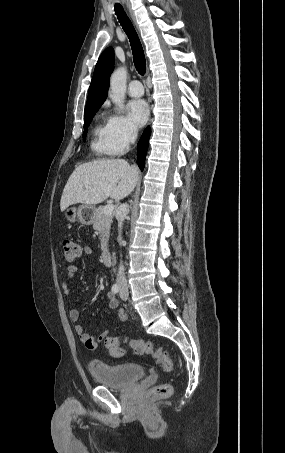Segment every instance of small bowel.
Wrapping results in <instances>:
<instances>
[{
    "mask_svg": "<svg viewBox=\"0 0 285 453\" xmlns=\"http://www.w3.org/2000/svg\"><path fill=\"white\" fill-rule=\"evenodd\" d=\"M82 253L84 255H91L92 254V248L89 246H85L82 248ZM77 273V267L75 265H69L67 269V276L63 281L61 282V287L65 294L69 295L71 294V285H72V280L74 276ZM108 305L110 309H117L116 312V319L119 322H124L127 319L126 313L123 309L118 308V301L116 297L112 294H108ZM79 311L75 308H71L69 310V318L73 322H77L79 320ZM75 332L80 338V341L85 345V347L89 350H95L97 349L99 343L104 340L110 333V329L107 328L103 330L98 337H93L87 332H85L84 327L81 324H76L75 325Z\"/></svg>",
    "mask_w": 285,
    "mask_h": 453,
    "instance_id": "c3829d8e",
    "label": "small bowel"
}]
</instances>
